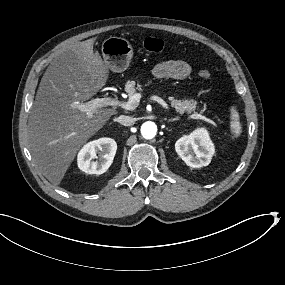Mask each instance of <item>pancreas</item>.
Here are the masks:
<instances>
[{
    "instance_id": "cf45deb5",
    "label": "pancreas",
    "mask_w": 285,
    "mask_h": 285,
    "mask_svg": "<svg viewBox=\"0 0 285 285\" xmlns=\"http://www.w3.org/2000/svg\"><path fill=\"white\" fill-rule=\"evenodd\" d=\"M145 88L147 90H150L152 88V85L150 83H147L145 85ZM123 89L128 93L130 97H133L136 93L142 92L143 87L137 81L127 80L123 86ZM158 93L160 95H163L165 93V90L163 88H160L158 90ZM169 99L171 100V107L175 108V110L180 114H183L185 112L191 114L196 110L197 101L194 99L177 100L173 97H170Z\"/></svg>"
}]
</instances>
